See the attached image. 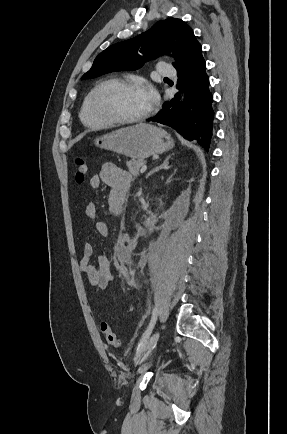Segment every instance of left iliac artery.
<instances>
[{"label": "left iliac artery", "mask_w": 287, "mask_h": 434, "mask_svg": "<svg viewBox=\"0 0 287 434\" xmlns=\"http://www.w3.org/2000/svg\"><path fill=\"white\" fill-rule=\"evenodd\" d=\"M157 317H158V310H157V308H154L153 311H152V318H151V321L149 323V326L146 329L144 335L142 336V338H141V340H140V342H139V344L137 346L136 354L141 350V348L143 347V345L145 344V342L147 341V339L151 335L152 330H153V328L155 326Z\"/></svg>", "instance_id": "1"}]
</instances>
